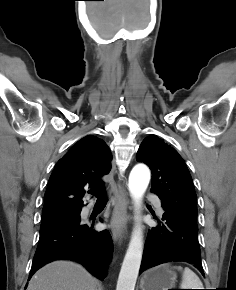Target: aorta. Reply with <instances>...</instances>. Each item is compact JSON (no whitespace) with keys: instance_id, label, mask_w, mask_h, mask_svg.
<instances>
[{"instance_id":"aorta-1","label":"aorta","mask_w":236,"mask_h":290,"mask_svg":"<svg viewBox=\"0 0 236 290\" xmlns=\"http://www.w3.org/2000/svg\"><path fill=\"white\" fill-rule=\"evenodd\" d=\"M150 181V171L142 164L136 165L130 175L128 188L136 210ZM143 253V232L140 223L133 229L127 252L119 273L116 290H134Z\"/></svg>"}]
</instances>
